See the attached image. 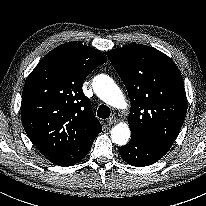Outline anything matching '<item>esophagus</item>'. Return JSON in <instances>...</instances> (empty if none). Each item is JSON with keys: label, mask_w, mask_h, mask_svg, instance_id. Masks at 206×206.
<instances>
[{"label": "esophagus", "mask_w": 206, "mask_h": 206, "mask_svg": "<svg viewBox=\"0 0 206 206\" xmlns=\"http://www.w3.org/2000/svg\"><path fill=\"white\" fill-rule=\"evenodd\" d=\"M107 123L109 125H112V124H115L117 123V119L115 117H110L108 120H107Z\"/></svg>", "instance_id": "34e87169"}]
</instances>
